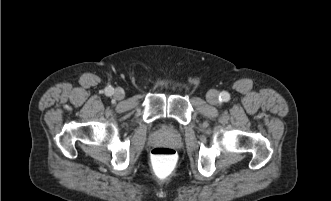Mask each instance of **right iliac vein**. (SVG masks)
I'll list each match as a JSON object with an SVG mask.
<instances>
[{
  "instance_id": "right-iliac-vein-1",
  "label": "right iliac vein",
  "mask_w": 331,
  "mask_h": 201,
  "mask_svg": "<svg viewBox=\"0 0 331 201\" xmlns=\"http://www.w3.org/2000/svg\"><path fill=\"white\" fill-rule=\"evenodd\" d=\"M125 96L124 90L122 88H116L115 92H114V97L117 100H121L123 99Z\"/></svg>"
}]
</instances>
